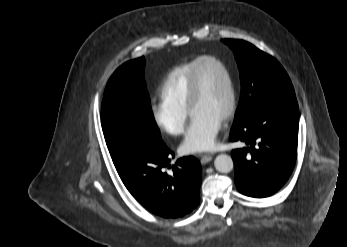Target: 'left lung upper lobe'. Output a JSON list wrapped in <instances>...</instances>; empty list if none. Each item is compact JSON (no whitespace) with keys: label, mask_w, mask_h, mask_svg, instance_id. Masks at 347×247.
Here are the masks:
<instances>
[{"label":"left lung upper lobe","mask_w":347,"mask_h":247,"mask_svg":"<svg viewBox=\"0 0 347 247\" xmlns=\"http://www.w3.org/2000/svg\"><path fill=\"white\" fill-rule=\"evenodd\" d=\"M223 41L233 50L240 70L241 96L234 124L273 97L295 96L287 73L276 59L246 41Z\"/></svg>","instance_id":"5c2ea615"}]
</instances>
